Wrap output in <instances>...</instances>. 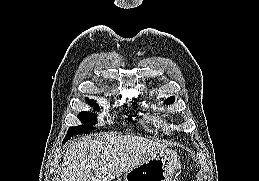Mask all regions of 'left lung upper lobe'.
<instances>
[{
    "instance_id": "5c2ea615",
    "label": "left lung upper lobe",
    "mask_w": 259,
    "mask_h": 181,
    "mask_svg": "<svg viewBox=\"0 0 259 181\" xmlns=\"http://www.w3.org/2000/svg\"><path fill=\"white\" fill-rule=\"evenodd\" d=\"M174 100H175V97H170V98L165 100V103H171L172 104L174 102Z\"/></svg>"
}]
</instances>
